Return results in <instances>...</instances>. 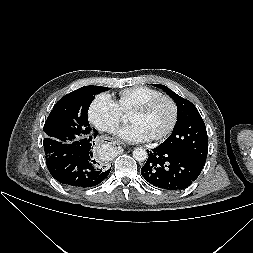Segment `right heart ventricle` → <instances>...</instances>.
<instances>
[{
    "instance_id": "right-heart-ventricle-1",
    "label": "right heart ventricle",
    "mask_w": 253,
    "mask_h": 253,
    "mask_svg": "<svg viewBox=\"0 0 253 253\" xmlns=\"http://www.w3.org/2000/svg\"><path fill=\"white\" fill-rule=\"evenodd\" d=\"M161 95V92L149 86H134L119 92L117 104L124 114H130L142 103Z\"/></svg>"
}]
</instances>
